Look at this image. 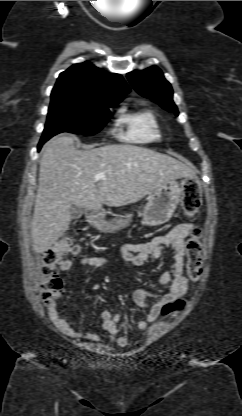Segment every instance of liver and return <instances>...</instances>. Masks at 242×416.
Here are the masks:
<instances>
[{"label":"liver","mask_w":242,"mask_h":416,"mask_svg":"<svg viewBox=\"0 0 242 416\" xmlns=\"http://www.w3.org/2000/svg\"><path fill=\"white\" fill-rule=\"evenodd\" d=\"M78 139L64 134L42 148L31 226L35 253H43L68 230L70 206L99 210L136 203L171 179L195 171L175 158L130 144L78 150ZM105 180H95L97 173Z\"/></svg>","instance_id":"liver-1"}]
</instances>
